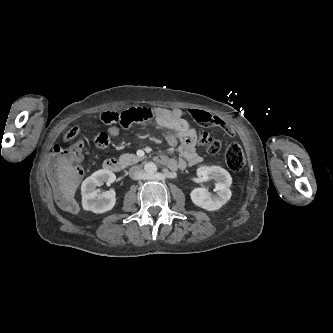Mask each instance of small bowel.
<instances>
[{
	"label": "small bowel",
	"instance_id": "1",
	"mask_svg": "<svg viewBox=\"0 0 333 333\" xmlns=\"http://www.w3.org/2000/svg\"><path fill=\"white\" fill-rule=\"evenodd\" d=\"M145 108V107H144ZM157 110L158 115L154 118V122L163 128L170 131L167 134V141L170 145L179 143V152L181 158L176 160L168 158L166 156H159L157 159L162 164L167 165L171 169H184L188 164L195 165L202 162V157L197 153L196 135L193 129L190 127V123L186 116L178 109H166L161 107H153ZM188 115L198 124L207 127H222L229 135L234 136L236 131L225 121L217 116H213L210 113L203 110H189ZM141 122V121H140ZM130 123L122 125L127 128ZM109 133L113 136L117 135L120 131L118 126H112L109 128ZM60 161H70L79 164L82 160V149L78 155H72L65 153L63 155H57Z\"/></svg>",
	"mask_w": 333,
	"mask_h": 333
}]
</instances>
